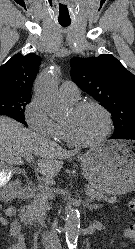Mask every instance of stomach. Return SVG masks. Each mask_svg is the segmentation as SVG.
<instances>
[{
	"mask_svg": "<svg viewBox=\"0 0 135 249\" xmlns=\"http://www.w3.org/2000/svg\"><path fill=\"white\" fill-rule=\"evenodd\" d=\"M83 174L92 188L123 195L135 190V142L106 141L80 158Z\"/></svg>",
	"mask_w": 135,
	"mask_h": 249,
	"instance_id": "stomach-1",
	"label": "stomach"
}]
</instances>
